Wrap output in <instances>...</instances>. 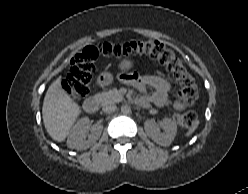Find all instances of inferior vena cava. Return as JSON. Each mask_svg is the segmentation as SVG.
<instances>
[{
	"label": "inferior vena cava",
	"instance_id": "1",
	"mask_svg": "<svg viewBox=\"0 0 248 194\" xmlns=\"http://www.w3.org/2000/svg\"><path fill=\"white\" fill-rule=\"evenodd\" d=\"M117 109L115 104H106L103 106V112L104 113H112Z\"/></svg>",
	"mask_w": 248,
	"mask_h": 194
}]
</instances>
